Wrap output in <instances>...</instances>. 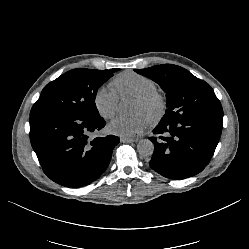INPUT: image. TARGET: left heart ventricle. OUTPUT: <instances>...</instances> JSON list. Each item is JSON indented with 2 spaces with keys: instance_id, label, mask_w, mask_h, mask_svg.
Masks as SVG:
<instances>
[{
  "instance_id": "1",
  "label": "left heart ventricle",
  "mask_w": 249,
  "mask_h": 249,
  "mask_svg": "<svg viewBox=\"0 0 249 249\" xmlns=\"http://www.w3.org/2000/svg\"><path fill=\"white\" fill-rule=\"evenodd\" d=\"M133 114H141L147 119L149 110L142 103L136 100L134 104Z\"/></svg>"
}]
</instances>
